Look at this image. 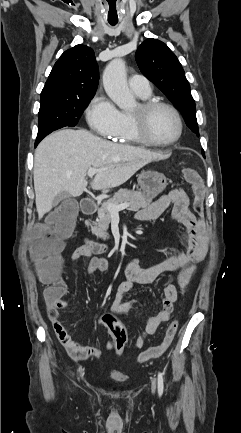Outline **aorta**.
Listing matches in <instances>:
<instances>
[{"label": "aorta", "instance_id": "aorta-1", "mask_svg": "<svg viewBox=\"0 0 241 433\" xmlns=\"http://www.w3.org/2000/svg\"><path fill=\"white\" fill-rule=\"evenodd\" d=\"M103 85L107 95L123 110H129L136 104L133 94L130 92L125 62L121 58L112 60L103 73Z\"/></svg>", "mask_w": 241, "mask_h": 433}]
</instances>
